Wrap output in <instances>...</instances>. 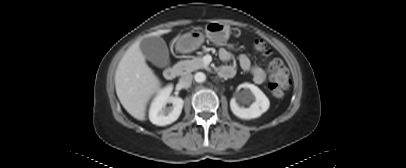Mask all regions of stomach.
Instances as JSON below:
<instances>
[{
	"instance_id": "stomach-1",
	"label": "stomach",
	"mask_w": 406,
	"mask_h": 168,
	"mask_svg": "<svg viewBox=\"0 0 406 168\" xmlns=\"http://www.w3.org/2000/svg\"><path fill=\"white\" fill-rule=\"evenodd\" d=\"M206 37L216 44L226 42L230 36V27L221 22H210L205 26ZM204 42V35L200 31H190L182 35L177 43L176 49L182 53H189L198 49Z\"/></svg>"
}]
</instances>
